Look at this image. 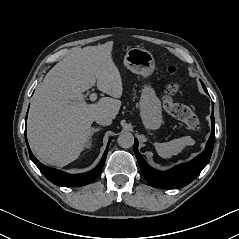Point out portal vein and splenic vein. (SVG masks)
Here are the masks:
<instances>
[{"instance_id": "obj_1", "label": "portal vein and splenic vein", "mask_w": 239, "mask_h": 239, "mask_svg": "<svg viewBox=\"0 0 239 239\" xmlns=\"http://www.w3.org/2000/svg\"><path fill=\"white\" fill-rule=\"evenodd\" d=\"M89 99H90V101H92V102L95 101V100L97 99L96 93L90 94Z\"/></svg>"}]
</instances>
